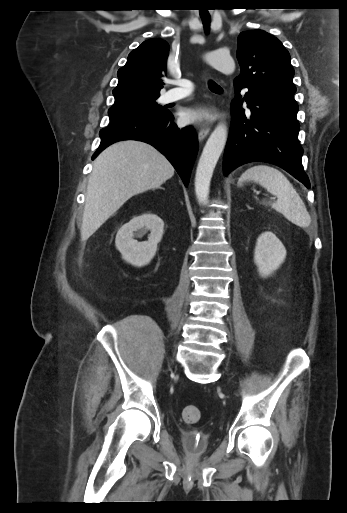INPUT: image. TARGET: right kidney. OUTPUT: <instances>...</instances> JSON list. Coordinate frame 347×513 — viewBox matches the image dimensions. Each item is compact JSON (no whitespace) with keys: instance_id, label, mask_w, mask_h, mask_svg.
<instances>
[{"instance_id":"1","label":"right kidney","mask_w":347,"mask_h":513,"mask_svg":"<svg viewBox=\"0 0 347 513\" xmlns=\"http://www.w3.org/2000/svg\"><path fill=\"white\" fill-rule=\"evenodd\" d=\"M146 230L151 231L148 240L137 241L135 237H141ZM163 231L164 222L161 218L152 213L142 214L134 217L118 230L115 246L126 262L141 267L148 264L155 256Z\"/></svg>"}]
</instances>
